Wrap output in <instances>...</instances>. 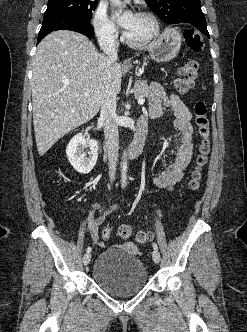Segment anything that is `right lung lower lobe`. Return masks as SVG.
Masks as SVG:
<instances>
[{"label":"right lung lower lobe","instance_id":"1","mask_svg":"<svg viewBox=\"0 0 247 332\" xmlns=\"http://www.w3.org/2000/svg\"><path fill=\"white\" fill-rule=\"evenodd\" d=\"M57 30H71L84 34L88 37L94 35L90 20L78 15L55 14L44 16L42 27L38 34L39 43L47 34Z\"/></svg>","mask_w":247,"mask_h":332}]
</instances>
